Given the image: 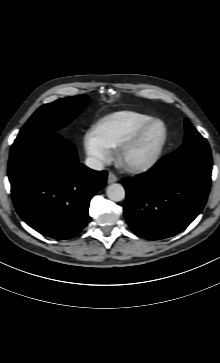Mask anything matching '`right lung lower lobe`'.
Listing matches in <instances>:
<instances>
[{
  "mask_svg": "<svg viewBox=\"0 0 220 363\" xmlns=\"http://www.w3.org/2000/svg\"><path fill=\"white\" fill-rule=\"evenodd\" d=\"M8 176L19 216L42 235L69 239L85 227L90 199L105 186L107 172L79 163L75 147L51 133L11 151Z\"/></svg>",
  "mask_w": 220,
  "mask_h": 363,
  "instance_id": "1",
  "label": "right lung lower lobe"
}]
</instances>
